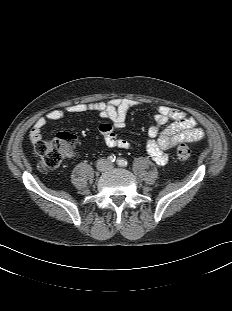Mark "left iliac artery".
<instances>
[{
  "mask_svg": "<svg viewBox=\"0 0 232 311\" xmlns=\"http://www.w3.org/2000/svg\"><path fill=\"white\" fill-rule=\"evenodd\" d=\"M117 164L119 166L126 167L128 165V162H127V160L120 158L117 160Z\"/></svg>",
  "mask_w": 232,
  "mask_h": 311,
  "instance_id": "44dca946",
  "label": "left iliac artery"
}]
</instances>
